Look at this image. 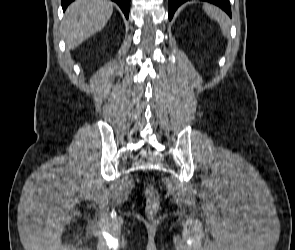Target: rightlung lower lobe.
<instances>
[{
    "instance_id": "obj_1",
    "label": "right lung lower lobe",
    "mask_w": 295,
    "mask_h": 250,
    "mask_svg": "<svg viewBox=\"0 0 295 250\" xmlns=\"http://www.w3.org/2000/svg\"><path fill=\"white\" fill-rule=\"evenodd\" d=\"M74 0H61V5L63 8V11L67 8V6L73 2ZM113 2H116L119 7L124 12L126 18L129 17V8H130V0H112Z\"/></svg>"
}]
</instances>
